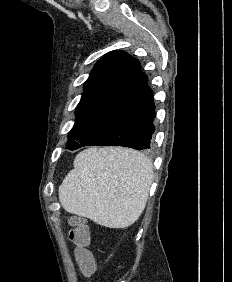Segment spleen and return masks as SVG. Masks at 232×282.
<instances>
[{
  "mask_svg": "<svg viewBox=\"0 0 232 282\" xmlns=\"http://www.w3.org/2000/svg\"><path fill=\"white\" fill-rule=\"evenodd\" d=\"M153 167L144 154L125 148H89L74 159L59 186V200L69 213L109 228H125L142 214Z\"/></svg>",
  "mask_w": 232,
  "mask_h": 282,
  "instance_id": "3e777b00",
  "label": "spleen"
}]
</instances>
